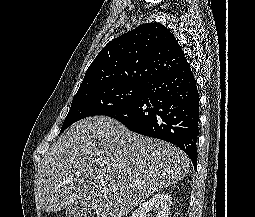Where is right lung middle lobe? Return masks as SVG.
<instances>
[{"label": "right lung middle lobe", "mask_w": 255, "mask_h": 217, "mask_svg": "<svg viewBox=\"0 0 255 217\" xmlns=\"http://www.w3.org/2000/svg\"><path fill=\"white\" fill-rule=\"evenodd\" d=\"M147 85L118 84L78 91L74 96L61 132L78 120L89 116L105 115L127 107L146 89Z\"/></svg>", "instance_id": "1"}]
</instances>
